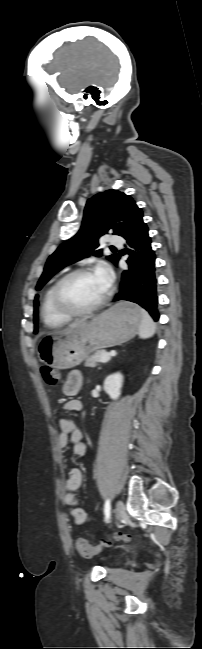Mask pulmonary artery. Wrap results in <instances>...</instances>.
I'll return each instance as SVG.
<instances>
[{"label": "pulmonary artery", "instance_id": "pulmonary-artery-1", "mask_svg": "<svg viewBox=\"0 0 202 649\" xmlns=\"http://www.w3.org/2000/svg\"><path fill=\"white\" fill-rule=\"evenodd\" d=\"M108 242L112 246H120V245H122L123 240L119 236H110Z\"/></svg>", "mask_w": 202, "mask_h": 649}]
</instances>
